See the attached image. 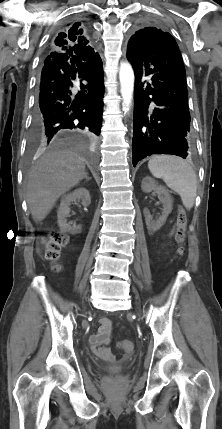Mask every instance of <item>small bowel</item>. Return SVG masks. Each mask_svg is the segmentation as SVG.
Wrapping results in <instances>:
<instances>
[{"label":"small bowel","mask_w":222,"mask_h":429,"mask_svg":"<svg viewBox=\"0 0 222 429\" xmlns=\"http://www.w3.org/2000/svg\"><path fill=\"white\" fill-rule=\"evenodd\" d=\"M111 321L108 318H102L97 332L89 338V344L92 352L102 360L114 361L115 356L107 345L111 342Z\"/></svg>","instance_id":"obj_1"}]
</instances>
